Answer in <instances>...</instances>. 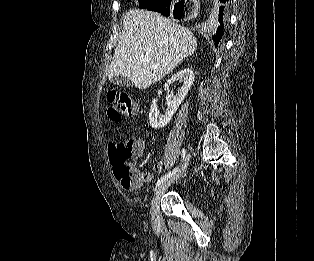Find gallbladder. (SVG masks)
<instances>
[{
  "instance_id": "obj_1",
  "label": "gallbladder",
  "mask_w": 314,
  "mask_h": 261,
  "mask_svg": "<svg viewBox=\"0 0 314 261\" xmlns=\"http://www.w3.org/2000/svg\"><path fill=\"white\" fill-rule=\"evenodd\" d=\"M111 82L115 85L121 86V87H130L133 85V83L130 81V79L123 77V76H116L111 78Z\"/></svg>"
}]
</instances>
